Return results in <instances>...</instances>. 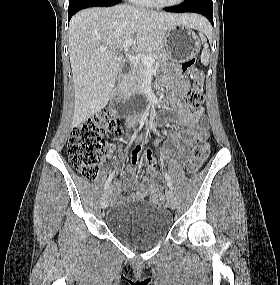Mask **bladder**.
<instances>
[{
	"instance_id": "bladder-1",
	"label": "bladder",
	"mask_w": 280,
	"mask_h": 285,
	"mask_svg": "<svg viewBox=\"0 0 280 285\" xmlns=\"http://www.w3.org/2000/svg\"><path fill=\"white\" fill-rule=\"evenodd\" d=\"M106 225L118 238L133 245L153 243L171 228L167 209L142 200L121 201L106 214Z\"/></svg>"
}]
</instances>
